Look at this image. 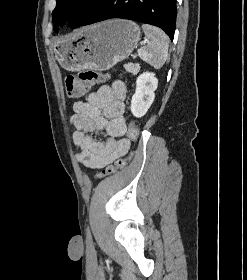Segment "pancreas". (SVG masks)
Segmentation results:
<instances>
[{
  "label": "pancreas",
  "mask_w": 247,
  "mask_h": 280,
  "mask_svg": "<svg viewBox=\"0 0 247 280\" xmlns=\"http://www.w3.org/2000/svg\"><path fill=\"white\" fill-rule=\"evenodd\" d=\"M124 67L128 72L132 73L133 75L137 74L140 70V65L138 63H128Z\"/></svg>",
  "instance_id": "cf45deb5"
}]
</instances>
